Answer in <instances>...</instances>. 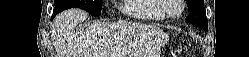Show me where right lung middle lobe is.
<instances>
[{
    "label": "right lung middle lobe",
    "mask_w": 249,
    "mask_h": 57,
    "mask_svg": "<svg viewBox=\"0 0 249 57\" xmlns=\"http://www.w3.org/2000/svg\"><path fill=\"white\" fill-rule=\"evenodd\" d=\"M102 2L103 0H55L54 10H59L61 12L71 7H77L84 9L94 16H100Z\"/></svg>",
    "instance_id": "obj_1"
}]
</instances>
